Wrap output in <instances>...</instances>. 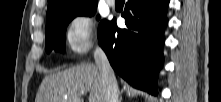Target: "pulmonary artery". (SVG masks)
I'll use <instances>...</instances> for the list:
<instances>
[{"label": "pulmonary artery", "mask_w": 221, "mask_h": 102, "mask_svg": "<svg viewBox=\"0 0 221 102\" xmlns=\"http://www.w3.org/2000/svg\"><path fill=\"white\" fill-rule=\"evenodd\" d=\"M115 2H116V0H106V3H107L109 6H114V5H115Z\"/></svg>", "instance_id": "pulmonary-artery-1"}]
</instances>
